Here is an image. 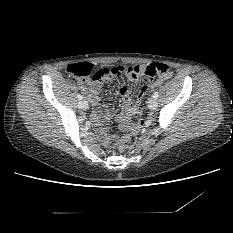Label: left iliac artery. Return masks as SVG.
Wrapping results in <instances>:
<instances>
[{
    "instance_id": "left-iliac-artery-1",
    "label": "left iliac artery",
    "mask_w": 233,
    "mask_h": 233,
    "mask_svg": "<svg viewBox=\"0 0 233 233\" xmlns=\"http://www.w3.org/2000/svg\"><path fill=\"white\" fill-rule=\"evenodd\" d=\"M158 96H159L158 92H154V94H153V96H152V97H153L154 99H157V98H158Z\"/></svg>"
}]
</instances>
